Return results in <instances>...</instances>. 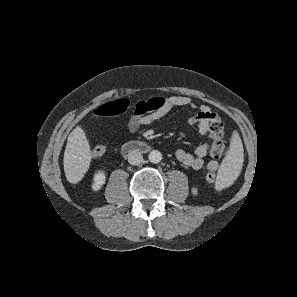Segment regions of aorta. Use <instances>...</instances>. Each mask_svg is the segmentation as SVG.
<instances>
[{"label": "aorta", "mask_w": 297, "mask_h": 297, "mask_svg": "<svg viewBox=\"0 0 297 297\" xmlns=\"http://www.w3.org/2000/svg\"><path fill=\"white\" fill-rule=\"evenodd\" d=\"M149 161L151 163L157 164L162 160V154L158 150H153L149 153Z\"/></svg>", "instance_id": "1"}]
</instances>
